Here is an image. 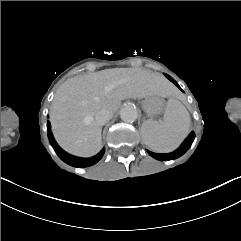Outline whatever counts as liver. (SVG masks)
<instances>
[{
  "label": "liver",
  "mask_w": 241,
  "mask_h": 241,
  "mask_svg": "<svg viewBox=\"0 0 241 241\" xmlns=\"http://www.w3.org/2000/svg\"><path fill=\"white\" fill-rule=\"evenodd\" d=\"M169 82L159 73L142 69L117 68L76 76L56 91L50 117L58 143L67 151L83 156L101 148L102 125L94 116L102 109L116 113L127 98L169 97Z\"/></svg>",
  "instance_id": "1"
}]
</instances>
